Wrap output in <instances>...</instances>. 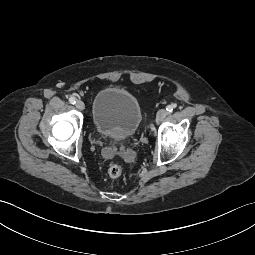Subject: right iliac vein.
I'll use <instances>...</instances> for the list:
<instances>
[{"label":"right iliac vein","instance_id":"1","mask_svg":"<svg viewBox=\"0 0 255 255\" xmlns=\"http://www.w3.org/2000/svg\"><path fill=\"white\" fill-rule=\"evenodd\" d=\"M75 106H76V108H77L78 110H84V109H85V104H84V102H82V101H80V100L76 102Z\"/></svg>","mask_w":255,"mask_h":255}]
</instances>
